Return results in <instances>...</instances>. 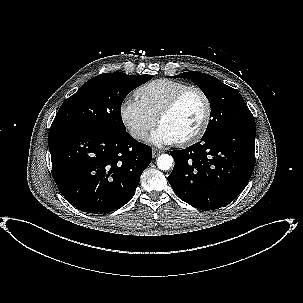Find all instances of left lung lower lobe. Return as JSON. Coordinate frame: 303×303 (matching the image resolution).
Here are the masks:
<instances>
[{
	"mask_svg": "<svg viewBox=\"0 0 303 303\" xmlns=\"http://www.w3.org/2000/svg\"><path fill=\"white\" fill-rule=\"evenodd\" d=\"M255 124L239 125L203 136L175 160L168 182L186 203L204 210L228 205L245 188L254 168Z\"/></svg>",
	"mask_w": 303,
	"mask_h": 303,
	"instance_id": "obj_1",
	"label": "left lung lower lobe"
}]
</instances>
